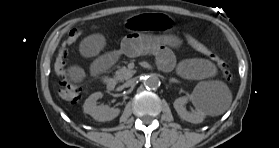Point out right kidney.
<instances>
[{"instance_id":"obj_1","label":"right kidney","mask_w":279,"mask_h":148,"mask_svg":"<svg viewBox=\"0 0 279 148\" xmlns=\"http://www.w3.org/2000/svg\"><path fill=\"white\" fill-rule=\"evenodd\" d=\"M103 94L101 92H95L91 94L85 101L83 108L84 112L89 114L95 120L100 122L110 121L116 118L119 113L120 109L116 108H109L106 105H97L96 101L101 98Z\"/></svg>"}]
</instances>
